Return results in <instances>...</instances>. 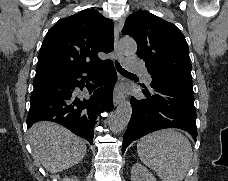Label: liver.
<instances>
[{
    "mask_svg": "<svg viewBox=\"0 0 228 181\" xmlns=\"http://www.w3.org/2000/svg\"><path fill=\"white\" fill-rule=\"evenodd\" d=\"M28 133L33 159L49 173L70 169L86 155V141L56 123H36Z\"/></svg>",
    "mask_w": 228,
    "mask_h": 181,
    "instance_id": "liver-1",
    "label": "liver"
}]
</instances>
